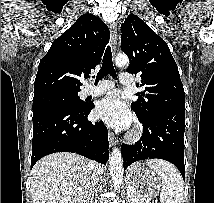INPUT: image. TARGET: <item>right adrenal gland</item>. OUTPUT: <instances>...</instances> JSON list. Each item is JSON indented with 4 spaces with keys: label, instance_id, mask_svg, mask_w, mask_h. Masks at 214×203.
I'll list each match as a JSON object with an SVG mask.
<instances>
[{
    "label": "right adrenal gland",
    "instance_id": "1",
    "mask_svg": "<svg viewBox=\"0 0 214 203\" xmlns=\"http://www.w3.org/2000/svg\"><path fill=\"white\" fill-rule=\"evenodd\" d=\"M90 203H93V199L90 200Z\"/></svg>",
    "mask_w": 214,
    "mask_h": 203
}]
</instances>
